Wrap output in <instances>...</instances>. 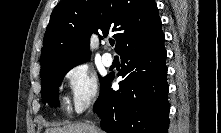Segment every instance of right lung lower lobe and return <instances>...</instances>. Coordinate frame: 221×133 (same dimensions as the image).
<instances>
[{
    "instance_id": "right-lung-lower-lobe-1",
    "label": "right lung lower lobe",
    "mask_w": 221,
    "mask_h": 133,
    "mask_svg": "<svg viewBox=\"0 0 221 133\" xmlns=\"http://www.w3.org/2000/svg\"><path fill=\"white\" fill-rule=\"evenodd\" d=\"M164 34L154 40L132 43L121 50L123 80L111 89L114 76L101 83L95 110L108 133H167L168 85Z\"/></svg>"
}]
</instances>
